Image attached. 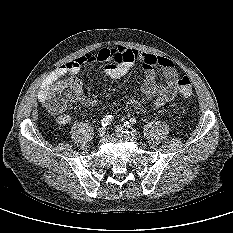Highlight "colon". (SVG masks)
I'll use <instances>...</instances> for the list:
<instances>
[{
  "label": "colon",
  "mask_w": 233,
  "mask_h": 233,
  "mask_svg": "<svg viewBox=\"0 0 233 233\" xmlns=\"http://www.w3.org/2000/svg\"><path fill=\"white\" fill-rule=\"evenodd\" d=\"M178 90L184 97H189L192 94L191 81L187 76L179 79ZM80 94L81 87L77 80L73 78L64 79L54 87L49 99V109L53 113L59 114L64 111L69 103L75 102Z\"/></svg>",
  "instance_id": "colon-1"
}]
</instances>
